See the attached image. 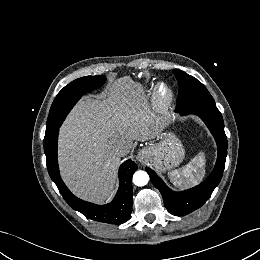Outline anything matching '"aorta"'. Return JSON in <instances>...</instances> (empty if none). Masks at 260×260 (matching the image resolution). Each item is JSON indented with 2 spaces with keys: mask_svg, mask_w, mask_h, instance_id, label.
Here are the masks:
<instances>
[{
  "mask_svg": "<svg viewBox=\"0 0 260 260\" xmlns=\"http://www.w3.org/2000/svg\"><path fill=\"white\" fill-rule=\"evenodd\" d=\"M149 181V176L147 172L139 170L136 171L133 175V183L136 186H145Z\"/></svg>",
  "mask_w": 260,
  "mask_h": 260,
  "instance_id": "obj_1",
  "label": "aorta"
}]
</instances>
